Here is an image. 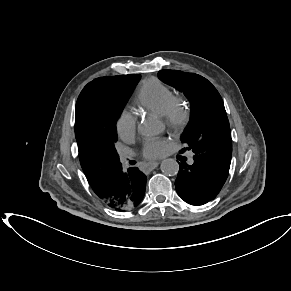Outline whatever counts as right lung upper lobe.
I'll return each mask as SVG.
<instances>
[{"label": "right lung upper lobe", "mask_w": 291, "mask_h": 291, "mask_svg": "<svg viewBox=\"0 0 291 291\" xmlns=\"http://www.w3.org/2000/svg\"><path fill=\"white\" fill-rule=\"evenodd\" d=\"M90 111L78 102L75 110V137L78 144L79 158L82 169L96 195L105 200L109 197L111 185L110 171L119 164L105 155L94 143L91 137Z\"/></svg>", "instance_id": "right-lung-upper-lobe-1"}]
</instances>
